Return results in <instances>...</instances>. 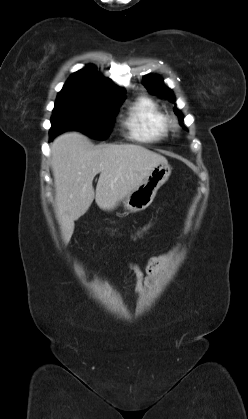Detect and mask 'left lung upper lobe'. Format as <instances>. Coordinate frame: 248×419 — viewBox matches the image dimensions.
I'll use <instances>...</instances> for the list:
<instances>
[{"instance_id":"obj_1","label":"left lung upper lobe","mask_w":248,"mask_h":419,"mask_svg":"<svg viewBox=\"0 0 248 419\" xmlns=\"http://www.w3.org/2000/svg\"><path fill=\"white\" fill-rule=\"evenodd\" d=\"M143 84L145 85V87L150 92L155 93L159 96L166 97L171 102H175V98H174V94H173L172 90L167 88L163 84V80L161 79V77H159V76L148 77V78L144 79ZM174 111H175L176 115L179 117L180 124H182L183 116H182L181 112L177 108H175Z\"/></svg>"}]
</instances>
